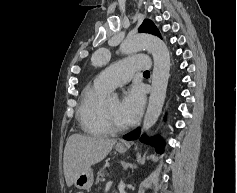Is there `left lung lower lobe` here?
<instances>
[{"instance_id": "obj_1", "label": "left lung lower lobe", "mask_w": 237, "mask_h": 193, "mask_svg": "<svg viewBox=\"0 0 237 193\" xmlns=\"http://www.w3.org/2000/svg\"><path fill=\"white\" fill-rule=\"evenodd\" d=\"M139 133H140V128L136 129L135 131H133L131 133H128L123 138L126 139V140H134V139L138 138ZM140 141L144 142V143H147V144H151V145L156 147L157 152H159V153L162 152L164 142L161 141L160 138L156 137V138H153V139H146L144 136H142L140 138Z\"/></svg>"}]
</instances>
